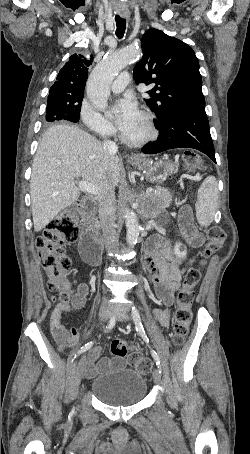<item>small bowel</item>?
I'll list each match as a JSON object with an SVG mask.
<instances>
[{"label": "small bowel", "mask_w": 250, "mask_h": 454, "mask_svg": "<svg viewBox=\"0 0 250 454\" xmlns=\"http://www.w3.org/2000/svg\"><path fill=\"white\" fill-rule=\"evenodd\" d=\"M179 226L187 242L194 248L203 244L204 238L192 220L191 210L184 206L178 216ZM145 263L147 265L153 292L160 303V308L154 310V318L163 327L169 324V310L174 292L179 288L182 275L185 271L183 260L176 253L174 244L162 237L151 238L146 245ZM88 296V286L81 283L74 292L69 303L57 304L50 316V329L60 350L72 347L78 342V333L75 328L67 329L62 324L64 312L75 311L83 308ZM101 356L100 346H95L89 353L84 363V373L87 378H93L101 372L107 371L111 366L108 358Z\"/></svg>", "instance_id": "obj_1"}]
</instances>
